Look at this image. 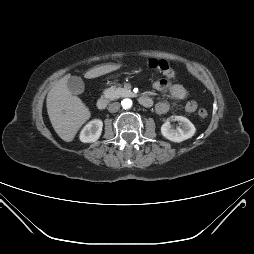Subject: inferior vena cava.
Wrapping results in <instances>:
<instances>
[{
    "instance_id": "1",
    "label": "inferior vena cava",
    "mask_w": 254,
    "mask_h": 254,
    "mask_svg": "<svg viewBox=\"0 0 254 254\" xmlns=\"http://www.w3.org/2000/svg\"><path fill=\"white\" fill-rule=\"evenodd\" d=\"M119 109H120V103H118V102H113V103L109 104V106H108V111L110 113H115Z\"/></svg>"
}]
</instances>
